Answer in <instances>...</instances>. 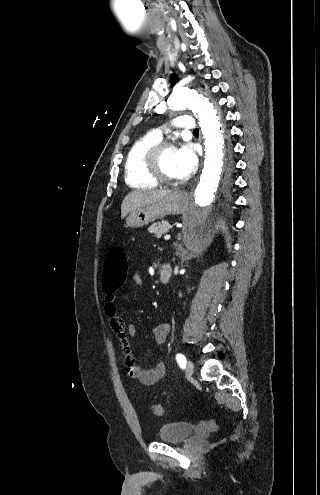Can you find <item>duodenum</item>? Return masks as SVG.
<instances>
[{
    "mask_svg": "<svg viewBox=\"0 0 320 495\" xmlns=\"http://www.w3.org/2000/svg\"><path fill=\"white\" fill-rule=\"evenodd\" d=\"M172 274V266L169 263L162 264L160 268V282L162 284H168L171 280Z\"/></svg>",
    "mask_w": 320,
    "mask_h": 495,
    "instance_id": "obj_1",
    "label": "duodenum"
}]
</instances>
